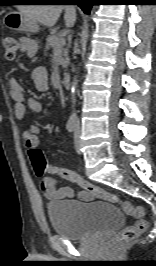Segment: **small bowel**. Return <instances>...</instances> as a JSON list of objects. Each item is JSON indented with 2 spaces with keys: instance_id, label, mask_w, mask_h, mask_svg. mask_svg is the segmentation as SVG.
Wrapping results in <instances>:
<instances>
[{
  "instance_id": "small-bowel-1",
  "label": "small bowel",
  "mask_w": 156,
  "mask_h": 266,
  "mask_svg": "<svg viewBox=\"0 0 156 266\" xmlns=\"http://www.w3.org/2000/svg\"><path fill=\"white\" fill-rule=\"evenodd\" d=\"M19 49L21 52L28 56H34L37 53L38 47L35 40L29 37H22L19 43ZM34 83L39 90H46L48 88V73L44 67H38L33 72ZM9 95L14 101V115L17 120L22 121L25 117L26 109L29 108L34 112H41V103L34 99H26L24 90L20 83L16 79H10L9 81ZM42 134L40 127L36 125L30 126L23 131V139L28 152L32 148H37L39 144V136ZM44 195L51 200L72 198L74 196V190L71 187H57L56 180L52 177H45L41 184ZM78 196L83 201H91L93 196L85 191H80Z\"/></svg>"
}]
</instances>
